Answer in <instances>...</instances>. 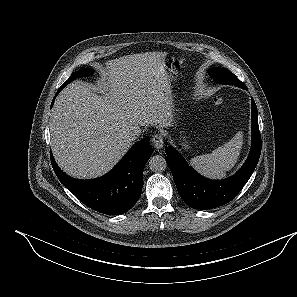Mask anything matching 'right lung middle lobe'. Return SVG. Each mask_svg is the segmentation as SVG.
I'll return each instance as SVG.
<instances>
[{"mask_svg":"<svg viewBox=\"0 0 297 297\" xmlns=\"http://www.w3.org/2000/svg\"><path fill=\"white\" fill-rule=\"evenodd\" d=\"M93 73H94L93 69L78 70L77 72H74L62 86H66L68 83L72 82L76 78L91 76Z\"/></svg>","mask_w":297,"mask_h":297,"instance_id":"right-lung-middle-lobe-1","label":"right lung middle lobe"}]
</instances>
